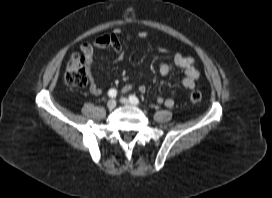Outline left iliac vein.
Here are the masks:
<instances>
[{"instance_id":"1","label":"left iliac vein","mask_w":272,"mask_h":198,"mask_svg":"<svg viewBox=\"0 0 272 198\" xmlns=\"http://www.w3.org/2000/svg\"><path fill=\"white\" fill-rule=\"evenodd\" d=\"M120 102L125 104V105H132L130 100L128 98H125V97L120 98Z\"/></svg>"}]
</instances>
